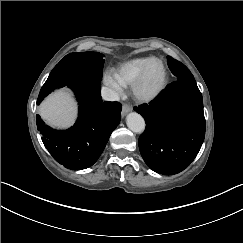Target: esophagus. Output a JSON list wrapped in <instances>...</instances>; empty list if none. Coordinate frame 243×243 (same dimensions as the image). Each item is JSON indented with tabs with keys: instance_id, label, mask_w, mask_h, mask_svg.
Listing matches in <instances>:
<instances>
[{
	"instance_id": "esophagus-1",
	"label": "esophagus",
	"mask_w": 243,
	"mask_h": 243,
	"mask_svg": "<svg viewBox=\"0 0 243 243\" xmlns=\"http://www.w3.org/2000/svg\"><path fill=\"white\" fill-rule=\"evenodd\" d=\"M132 110V107L128 104H124L122 107L121 115L124 117L127 113Z\"/></svg>"
}]
</instances>
